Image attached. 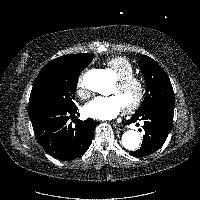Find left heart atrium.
<instances>
[{
  "label": "left heart atrium",
  "mask_w": 200,
  "mask_h": 200,
  "mask_svg": "<svg viewBox=\"0 0 200 200\" xmlns=\"http://www.w3.org/2000/svg\"><path fill=\"white\" fill-rule=\"evenodd\" d=\"M122 110V104L114 95L96 97L84 107V112L87 116L99 120L113 119L117 117Z\"/></svg>",
  "instance_id": "39dd6f15"
}]
</instances>
